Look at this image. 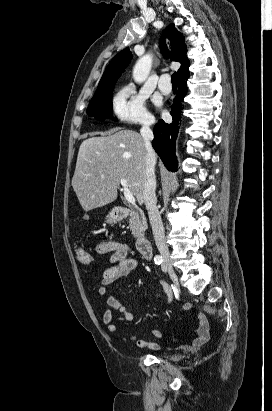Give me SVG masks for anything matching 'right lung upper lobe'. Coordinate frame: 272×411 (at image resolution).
I'll list each match as a JSON object with an SVG mask.
<instances>
[{"label":"right lung upper lobe","instance_id":"right-lung-upper-lobe-1","mask_svg":"<svg viewBox=\"0 0 272 411\" xmlns=\"http://www.w3.org/2000/svg\"><path fill=\"white\" fill-rule=\"evenodd\" d=\"M167 36L172 44V51L168 52L164 37ZM160 49L163 55L167 58L171 57V60L178 61L181 63V67L178 70L179 80L189 77V60L187 59L186 45L183 35L178 32L174 27V24L169 25L165 31L164 35L160 39ZM132 54L129 48L124 49L118 53L109 63L105 72L99 82L98 88L107 87L113 83H116L121 73L129 65L130 60L132 59Z\"/></svg>","mask_w":272,"mask_h":411}]
</instances>
